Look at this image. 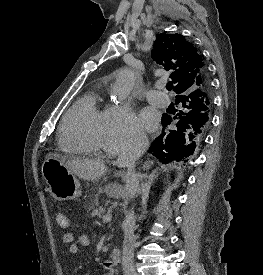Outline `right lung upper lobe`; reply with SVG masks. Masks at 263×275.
I'll list each match as a JSON object with an SVG mask.
<instances>
[{
  "instance_id": "obj_1",
  "label": "right lung upper lobe",
  "mask_w": 263,
  "mask_h": 275,
  "mask_svg": "<svg viewBox=\"0 0 263 275\" xmlns=\"http://www.w3.org/2000/svg\"><path fill=\"white\" fill-rule=\"evenodd\" d=\"M152 59L166 70H171L170 78L174 83L177 96L192 95L205 90L200 103L203 113L210 121L212 111L211 86L203 76L205 64L196 48L180 34H158L151 52Z\"/></svg>"
}]
</instances>
